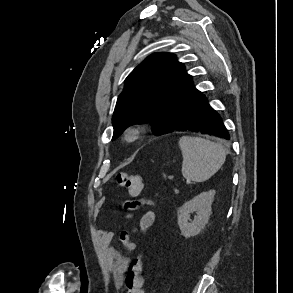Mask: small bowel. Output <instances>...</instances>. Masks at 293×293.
Instances as JSON below:
<instances>
[{"label":"small bowel","mask_w":293,"mask_h":293,"mask_svg":"<svg viewBox=\"0 0 293 293\" xmlns=\"http://www.w3.org/2000/svg\"><path fill=\"white\" fill-rule=\"evenodd\" d=\"M140 205V201H132L126 203V208L130 211H135ZM129 218L134 216L133 212L127 215ZM155 213L151 210L146 211L139 220V229L145 233L150 230L155 222ZM97 236L101 243L102 249L109 263V270L113 275L114 284L117 288L123 286L124 274L128 268L129 260L120 251L111 245L115 238H119L123 246L128 250H135L136 243L130 238L127 232H117L114 229H100L97 231Z\"/></svg>","instance_id":"obj_1"}]
</instances>
